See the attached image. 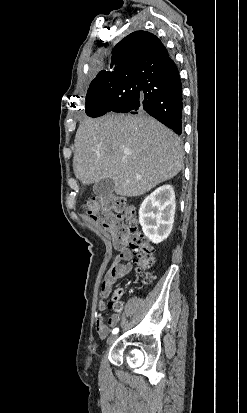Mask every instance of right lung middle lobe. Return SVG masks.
Listing matches in <instances>:
<instances>
[{
	"mask_svg": "<svg viewBox=\"0 0 247 413\" xmlns=\"http://www.w3.org/2000/svg\"><path fill=\"white\" fill-rule=\"evenodd\" d=\"M126 91L123 81L93 80L86 95L85 112L89 116L100 108L109 98L122 95Z\"/></svg>",
	"mask_w": 247,
	"mask_h": 413,
	"instance_id": "obj_1",
	"label": "right lung middle lobe"
}]
</instances>
